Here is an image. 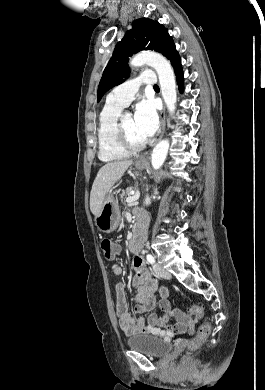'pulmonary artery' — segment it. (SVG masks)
<instances>
[{"label":"pulmonary artery","mask_w":265,"mask_h":390,"mask_svg":"<svg viewBox=\"0 0 265 390\" xmlns=\"http://www.w3.org/2000/svg\"><path fill=\"white\" fill-rule=\"evenodd\" d=\"M156 82L157 79L153 70L144 71L139 76L132 78L113 89L107 97V102L126 107L135 98L140 85H154Z\"/></svg>","instance_id":"pulmonary-artery-1"}]
</instances>
